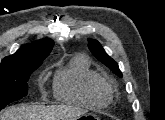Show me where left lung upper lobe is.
Masks as SVG:
<instances>
[{
    "label": "left lung upper lobe",
    "instance_id": "obj_1",
    "mask_svg": "<svg viewBox=\"0 0 165 120\" xmlns=\"http://www.w3.org/2000/svg\"><path fill=\"white\" fill-rule=\"evenodd\" d=\"M88 47L92 54L108 68H110L116 75L122 77L118 64L107 55L103 47L96 40L89 39Z\"/></svg>",
    "mask_w": 165,
    "mask_h": 120
}]
</instances>
